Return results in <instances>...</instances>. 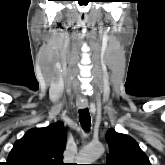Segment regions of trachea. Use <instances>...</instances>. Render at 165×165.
<instances>
[{
  "label": "trachea",
  "instance_id": "1",
  "mask_svg": "<svg viewBox=\"0 0 165 165\" xmlns=\"http://www.w3.org/2000/svg\"><path fill=\"white\" fill-rule=\"evenodd\" d=\"M79 121L82 128L88 132L91 126V117L87 108L79 111Z\"/></svg>",
  "mask_w": 165,
  "mask_h": 165
}]
</instances>
